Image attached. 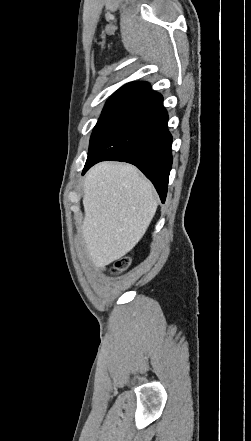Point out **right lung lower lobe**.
I'll use <instances>...</instances> for the list:
<instances>
[{"label": "right lung lower lobe", "instance_id": "1", "mask_svg": "<svg viewBox=\"0 0 251 441\" xmlns=\"http://www.w3.org/2000/svg\"><path fill=\"white\" fill-rule=\"evenodd\" d=\"M162 96L150 91L133 102L103 133L88 155L84 174L104 160L128 162L154 184L161 201L172 166V136Z\"/></svg>", "mask_w": 251, "mask_h": 441}]
</instances>
